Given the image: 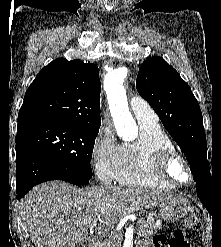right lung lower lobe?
Masks as SVG:
<instances>
[{"instance_id":"right-lung-lower-lobe-1","label":"right lung lower lobe","mask_w":221,"mask_h":247,"mask_svg":"<svg viewBox=\"0 0 221 247\" xmlns=\"http://www.w3.org/2000/svg\"><path fill=\"white\" fill-rule=\"evenodd\" d=\"M16 192L20 200L32 187L42 182L62 180L75 185H86L90 179L76 175L56 160L35 149L16 146Z\"/></svg>"}]
</instances>
